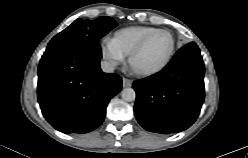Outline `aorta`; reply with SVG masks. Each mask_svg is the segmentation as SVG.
Masks as SVG:
<instances>
[{"label":"aorta","instance_id":"762f6f07","mask_svg":"<svg viewBox=\"0 0 248 158\" xmlns=\"http://www.w3.org/2000/svg\"><path fill=\"white\" fill-rule=\"evenodd\" d=\"M122 99L127 102H132L136 98V93L133 88H124L121 93Z\"/></svg>","mask_w":248,"mask_h":158}]
</instances>
